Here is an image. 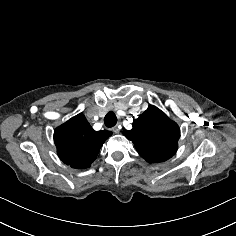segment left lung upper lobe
Returning <instances> with one entry per match:
<instances>
[{
  "mask_svg": "<svg viewBox=\"0 0 236 236\" xmlns=\"http://www.w3.org/2000/svg\"><path fill=\"white\" fill-rule=\"evenodd\" d=\"M132 130L123 134L131 140L138 153L149 163L163 162L177 151L180 138L179 126L153 105L137 119Z\"/></svg>",
  "mask_w": 236,
  "mask_h": 236,
  "instance_id": "obj_1",
  "label": "left lung upper lobe"
}]
</instances>
